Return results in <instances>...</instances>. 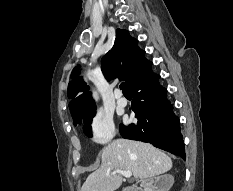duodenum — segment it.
<instances>
[{
    "label": "duodenum",
    "mask_w": 233,
    "mask_h": 191,
    "mask_svg": "<svg viewBox=\"0 0 233 191\" xmlns=\"http://www.w3.org/2000/svg\"><path fill=\"white\" fill-rule=\"evenodd\" d=\"M128 191H140L139 188L137 187H132L131 189H129Z\"/></svg>",
    "instance_id": "obj_1"
}]
</instances>
